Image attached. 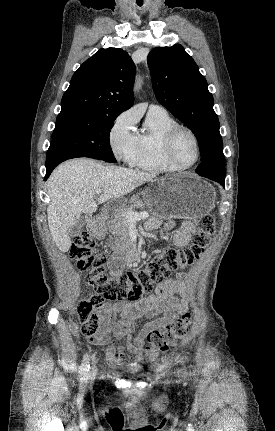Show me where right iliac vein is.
Instances as JSON below:
<instances>
[{
  "label": "right iliac vein",
  "mask_w": 275,
  "mask_h": 431,
  "mask_svg": "<svg viewBox=\"0 0 275 431\" xmlns=\"http://www.w3.org/2000/svg\"><path fill=\"white\" fill-rule=\"evenodd\" d=\"M90 374H91L92 376H93V375H95V370H94V368H92V369H91Z\"/></svg>",
  "instance_id": "1"
}]
</instances>
